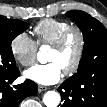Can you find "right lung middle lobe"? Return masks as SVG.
Returning <instances> with one entry per match:
<instances>
[{
    "instance_id": "dd1d6c3e",
    "label": "right lung middle lobe",
    "mask_w": 107,
    "mask_h": 107,
    "mask_svg": "<svg viewBox=\"0 0 107 107\" xmlns=\"http://www.w3.org/2000/svg\"><path fill=\"white\" fill-rule=\"evenodd\" d=\"M28 27L29 25L23 21L0 16V77H5L18 70L11 42Z\"/></svg>"
}]
</instances>
